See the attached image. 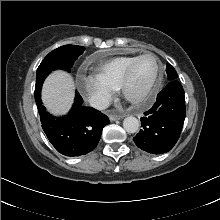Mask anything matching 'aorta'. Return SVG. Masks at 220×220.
Returning <instances> with one entry per match:
<instances>
[{
    "label": "aorta",
    "instance_id": "762f6f07",
    "mask_svg": "<svg viewBox=\"0 0 220 220\" xmlns=\"http://www.w3.org/2000/svg\"><path fill=\"white\" fill-rule=\"evenodd\" d=\"M123 127L128 133H135L139 128V121L136 117L129 116L123 121Z\"/></svg>",
    "mask_w": 220,
    "mask_h": 220
}]
</instances>
